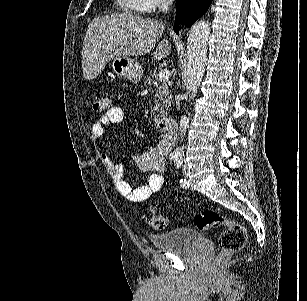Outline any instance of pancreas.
<instances>
[{
	"label": "pancreas",
	"mask_w": 307,
	"mask_h": 301,
	"mask_svg": "<svg viewBox=\"0 0 307 301\" xmlns=\"http://www.w3.org/2000/svg\"><path fill=\"white\" fill-rule=\"evenodd\" d=\"M142 86H146L148 90L153 92V112L155 116H159V114H161V116H167L168 110H170L171 106V96L166 80H159L156 74L146 72Z\"/></svg>",
	"instance_id": "1"
}]
</instances>
